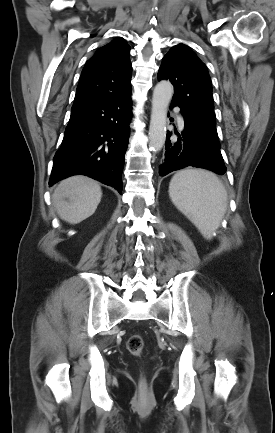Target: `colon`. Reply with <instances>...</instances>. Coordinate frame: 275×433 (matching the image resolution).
<instances>
[{
	"label": "colon",
	"mask_w": 275,
	"mask_h": 433,
	"mask_svg": "<svg viewBox=\"0 0 275 433\" xmlns=\"http://www.w3.org/2000/svg\"><path fill=\"white\" fill-rule=\"evenodd\" d=\"M127 349L133 356L140 357L144 350V344L141 336L138 334L132 335L127 341ZM140 385L142 389L145 388L146 384L144 378H141Z\"/></svg>",
	"instance_id": "colon-1"
}]
</instances>
